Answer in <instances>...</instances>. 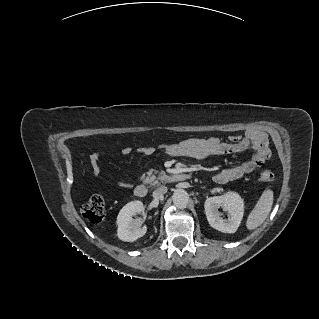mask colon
I'll list each match as a JSON object with an SVG mask.
<instances>
[{
    "mask_svg": "<svg viewBox=\"0 0 319 319\" xmlns=\"http://www.w3.org/2000/svg\"><path fill=\"white\" fill-rule=\"evenodd\" d=\"M263 154L266 158L270 156V150L266 146L263 149ZM263 181H272L274 174L271 171L265 170L260 174ZM83 216L91 223H99L105 216V201L101 195L91 196L82 206Z\"/></svg>",
    "mask_w": 319,
    "mask_h": 319,
    "instance_id": "obj_1",
    "label": "colon"
}]
</instances>
